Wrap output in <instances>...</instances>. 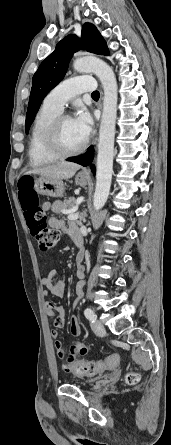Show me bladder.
<instances>
[{
  "label": "bladder",
  "instance_id": "31cf9c89",
  "mask_svg": "<svg viewBox=\"0 0 171 445\" xmlns=\"http://www.w3.org/2000/svg\"><path fill=\"white\" fill-rule=\"evenodd\" d=\"M103 377H104V375H98V376H94V377L83 378V379L79 380V384L82 386H86L93 382L101 380Z\"/></svg>",
  "mask_w": 171,
  "mask_h": 445
}]
</instances>
